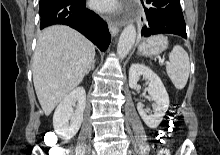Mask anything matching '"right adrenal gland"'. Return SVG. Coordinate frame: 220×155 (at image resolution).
I'll return each instance as SVG.
<instances>
[{"label": "right adrenal gland", "mask_w": 220, "mask_h": 155, "mask_svg": "<svg viewBox=\"0 0 220 155\" xmlns=\"http://www.w3.org/2000/svg\"><path fill=\"white\" fill-rule=\"evenodd\" d=\"M95 61H96V60H93L91 66L88 68L86 74H88V73L90 72V70H94V68H95Z\"/></svg>", "instance_id": "right-adrenal-gland-1"}]
</instances>
